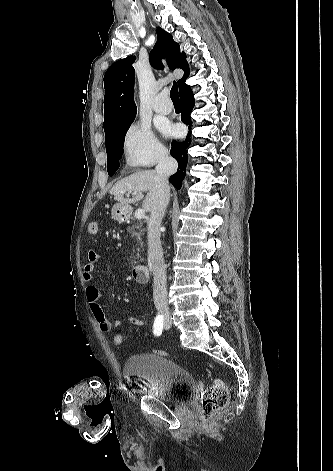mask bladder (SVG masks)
<instances>
[{"label": "bladder", "instance_id": "31cf9c89", "mask_svg": "<svg viewBox=\"0 0 333 471\" xmlns=\"http://www.w3.org/2000/svg\"><path fill=\"white\" fill-rule=\"evenodd\" d=\"M124 374L146 382L147 392L157 400L177 405L192 396L196 382L186 369L155 353L130 356L123 368Z\"/></svg>", "mask_w": 333, "mask_h": 471}]
</instances>
